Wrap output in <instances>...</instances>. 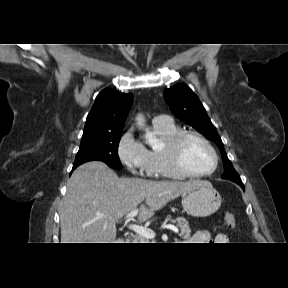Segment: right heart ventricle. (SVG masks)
Listing matches in <instances>:
<instances>
[{
	"label": "right heart ventricle",
	"instance_id": "e07e8e85",
	"mask_svg": "<svg viewBox=\"0 0 288 288\" xmlns=\"http://www.w3.org/2000/svg\"><path fill=\"white\" fill-rule=\"evenodd\" d=\"M152 130L162 142L161 147L148 150L149 168L153 176L171 179L181 177L170 167L163 152L164 145L179 133L181 129L171 122L169 124L153 123Z\"/></svg>",
	"mask_w": 288,
	"mask_h": 288
}]
</instances>
